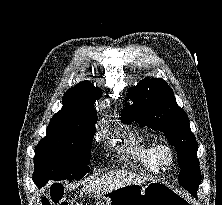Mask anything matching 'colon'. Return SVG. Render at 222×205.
Instances as JSON below:
<instances>
[{"instance_id": "1", "label": "colon", "mask_w": 222, "mask_h": 205, "mask_svg": "<svg viewBox=\"0 0 222 205\" xmlns=\"http://www.w3.org/2000/svg\"><path fill=\"white\" fill-rule=\"evenodd\" d=\"M42 205H68L62 188L56 185L50 187L42 199Z\"/></svg>"}]
</instances>
